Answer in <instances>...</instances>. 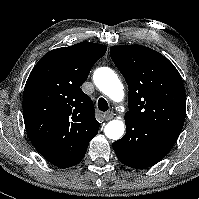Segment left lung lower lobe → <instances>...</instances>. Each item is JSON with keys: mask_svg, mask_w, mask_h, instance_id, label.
<instances>
[{"mask_svg": "<svg viewBox=\"0 0 199 199\" xmlns=\"http://www.w3.org/2000/svg\"><path fill=\"white\" fill-rule=\"evenodd\" d=\"M175 142V139L129 119L126 120V134L112 146L124 165L143 169L163 159Z\"/></svg>", "mask_w": 199, "mask_h": 199, "instance_id": "left-lung-lower-lobe-1", "label": "left lung lower lobe"}]
</instances>
